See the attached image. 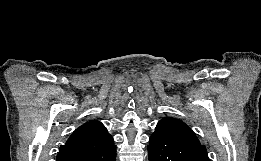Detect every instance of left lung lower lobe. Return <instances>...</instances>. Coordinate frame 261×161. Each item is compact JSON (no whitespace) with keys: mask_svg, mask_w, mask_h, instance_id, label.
<instances>
[{"mask_svg":"<svg viewBox=\"0 0 261 161\" xmlns=\"http://www.w3.org/2000/svg\"><path fill=\"white\" fill-rule=\"evenodd\" d=\"M149 161H209L204 145H186L152 134Z\"/></svg>","mask_w":261,"mask_h":161,"instance_id":"1","label":"left lung lower lobe"}]
</instances>
